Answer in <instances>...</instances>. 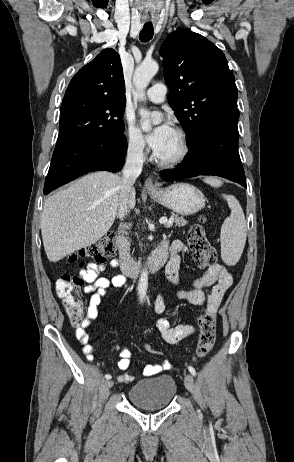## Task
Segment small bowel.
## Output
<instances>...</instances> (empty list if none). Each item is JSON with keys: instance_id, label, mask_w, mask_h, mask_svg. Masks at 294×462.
<instances>
[{"instance_id": "small-bowel-1", "label": "small bowel", "mask_w": 294, "mask_h": 462, "mask_svg": "<svg viewBox=\"0 0 294 462\" xmlns=\"http://www.w3.org/2000/svg\"><path fill=\"white\" fill-rule=\"evenodd\" d=\"M168 245L167 243H164ZM171 257L166 267V277L174 290L169 294L162 293L156 297L152 304L154 313L162 314L166 307L168 297L187 301L193 305H201L206 302L207 309L216 312L225 292L232 285V276L229 271L220 264L212 266L201 277L195 278L189 282H183L180 277L181 254L187 251L186 245L181 240H174L170 245ZM107 266L117 268L119 261L113 259L109 264L89 263L86 268L81 270L80 277L84 281V292L90 295L87 306L86 317L84 322L76 328L75 334L77 339L83 344V353L88 360H93L94 348L89 344L88 327L98 317V306L101 299L111 287H121L126 283V278L121 275H115L111 278L100 276V273ZM213 286L211 294L206 297L204 289ZM156 326L161 333L162 338L169 344L178 345L187 336L194 334L196 328L192 324H179L171 326L165 318L159 317L156 320ZM120 359L117 366L122 373L117 377L119 382H132L134 376L127 373L130 366V351L123 347L120 351ZM170 368V363L165 360L162 363L149 364L144 368L145 376H154Z\"/></svg>"}]
</instances>
